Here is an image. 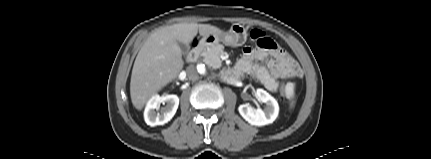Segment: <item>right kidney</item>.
Listing matches in <instances>:
<instances>
[{"instance_id": "ca27d5eb", "label": "right kidney", "mask_w": 431, "mask_h": 159, "mask_svg": "<svg viewBox=\"0 0 431 159\" xmlns=\"http://www.w3.org/2000/svg\"><path fill=\"white\" fill-rule=\"evenodd\" d=\"M161 103L166 105L160 109ZM178 105L179 98L177 95L153 96L148 101L144 111L145 122L152 127L164 125L175 115Z\"/></svg>"}]
</instances>
